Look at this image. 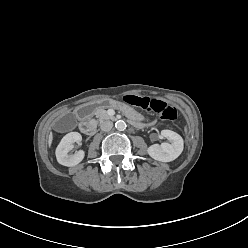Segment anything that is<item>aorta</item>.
<instances>
[{
	"label": "aorta",
	"instance_id": "762f6f07",
	"mask_svg": "<svg viewBox=\"0 0 248 248\" xmlns=\"http://www.w3.org/2000/svg\"><path fill=\"white\" fill-rule=\"evenodd\" d=\"M127 125L125 123V121L123 120H118L116 123H115V128L119 131H124L126 129Z\"/></svg>",
	"mask_w": 248,
	"mask_h": 248
}]
</instances>
